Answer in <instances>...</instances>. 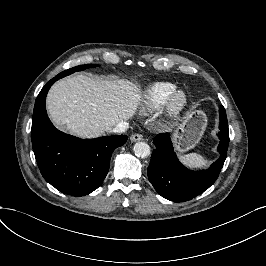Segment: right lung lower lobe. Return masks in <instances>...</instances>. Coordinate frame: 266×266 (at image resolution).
<instances>
[{
  "label": "right lung lower lobe",
  "instance_id": "98d812e1",
  "mask_svg": "<svg viewBox=\"0 0 266 266\" xmlns=\"http://www.w3.org/2000/svg\"><path fill=\"white\" fill-rule=\"evenodd\" d=\"M51 79L39 93L33 111L32 146L44 179L64 194L84 196L105 179L112 152L127 141L126 135L79 139L57 130L47 116L46 95Z\"/></svg>",
  "mask_w": 266,
  "mask_h": 266
}]
</instances>
